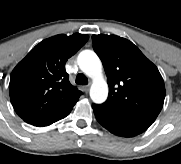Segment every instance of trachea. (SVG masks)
<instances>
[{"instance_id": "3493384b", "label": "trachea", "mask_w": 181, "mask_h": 164, "mask_svg": "<svg viewBox=\"0 0 181 164\" xmlns=\"http://www.w3.org/2000/svg\"><path fill=\"white\" fill-rule=\"evenodd\" d=\"M77 84H81V85H86L88 84V79L87 77L82 74V73H79L77 76H76V81H75Z\"/></svg>"}]
</instances>
